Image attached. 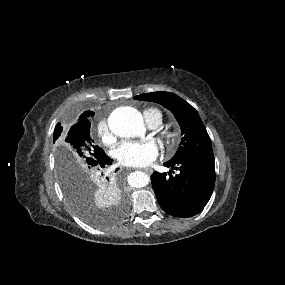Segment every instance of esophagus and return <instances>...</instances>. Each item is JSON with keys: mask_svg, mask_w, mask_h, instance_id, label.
Instances as JSON below:
<instances>
[{"mask_svg": "<svg viewBox=\"0 0 285 285\" xmlns=\"http://www.w3.org/2000/svg\"><path fill=\"white\" fill-rule=\"evenodd\" d=\"M143 171L147 172L148 174H152L153 172L151 168H144Z\"/></svg>", "mask_w": 285, "mask_h": 285, "instance_id": "34e87169", "label": "esophagus"}]
</instances>
